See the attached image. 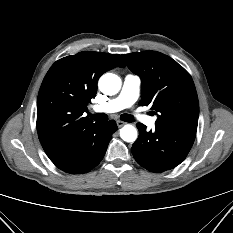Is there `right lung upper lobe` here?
<instances>
[{"mask_svg":"<svg viewBox=\"0 0 233 233\" xmlns=\"http://www.w3.org/2000/svg\"><path fill=\"white\" fill-rule=\"evenodd\" d=\"M124 67L119 54L83 51L56 61L47 72L37 99V131L47 156L53 160L81 157L99 123L83 117L96 96L99 77Z\"/></svg>","mask_w":233,"mask_h":233,"instance_id":"obj_1","label":"right lung upper lobe"}]
</instances>
